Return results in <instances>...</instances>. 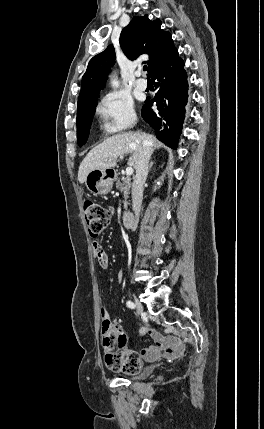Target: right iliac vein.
Wrapping results in <instances>:
<instances>
[{
  "label": "right iliac vein",
  "instance_id": "63e3f726",
  "mask_svg": "<svg viewBox=\"0 0 264 429\" xmlns=\"http://www.w3.org/2000/svg\"><path fill=\"white\" fill-rule=\"evenodd\" d=\"M134 303L136 306L135 308L137 309V314H142L143 307H142L141 302L137 298L134 297Z\"/></svg>",
  "mask_w": 264,
  "mask_h": 429
}]
</instances>
